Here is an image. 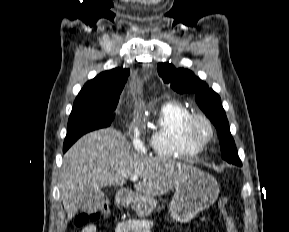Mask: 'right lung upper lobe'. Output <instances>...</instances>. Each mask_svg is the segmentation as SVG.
Masks as SVG:
<instances>
[{
    "label": "right lung upper lobe",
    "mask_w": 289,
    "mask_h": 232,
    "mask_svg": "<svg viewBox=\"0 0 289 232\" xmlns=\"http://www.w3.org/2000/svg\"><path fill=\"white\" fill-rule=\"evenodd\" d=\"M129 73L128 69L122 68L102 72L84 85L77 98L119 97Z\"/></svg>",
    "instance_id": "cb5924a9"
}]
</instances>
